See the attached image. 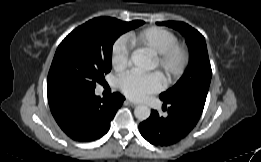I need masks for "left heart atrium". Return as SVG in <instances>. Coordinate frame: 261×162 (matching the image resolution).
<instances>
[{
    "label": "left heart atrium",
    "instance_id": "left-heart-atrium-1",
    "mask_svg": "<svg viewBox=\"0 0 261 162\" xmlns=\"http://www.w3.org/2000/svg\"><path fill=\"white\" fill-rule=\"evenodd\" d=\"M164 79L158 72L138 74L128 72L117 80L118 88L130 99L143 100L147 96L159 92Z\"/></svg>",
    "mask_w": 261,
    "mask_h": 162
}]
</instances>
